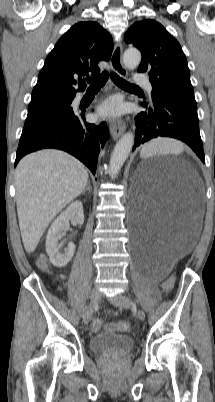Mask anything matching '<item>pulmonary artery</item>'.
Wrapping results in <instances>:
<instances>
[{"instance_id":"1","label":"pulmonary artery","mask_w":215,"mask_h":402,"mask_svg":"<svg viewBox=\"0 0 215 402\" xmlns=\"http://www.w3.org/2000/svg\"><path fill=\"white\" fill-rule=\"evenodd\" d=\"M134 82L137 83V84H142V85H144V86L147 88V90H148L149 92L152 91V85H151V83L149 82V80H148L144 75H142V74H137V75L134 77Z\"/></svg>"}]
</instances>
